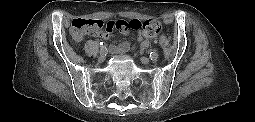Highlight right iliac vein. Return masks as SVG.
<instances>
[{
  "label": "right iliac vein",
  "instance_id": "right-iliac-vein-1",
  "mask_svg": "<svg viewBox=\"0 0 255 122\" xmlns=\"http://www.w3.org/2000/svg\"><path fill=\"white\" fill-rule=\"evenodd\" d=\"M106 59V51L100 50V55L98 57L99 62H103Z\"/></svg>",
  "mask_w": 255,
  "mask_h": 122
}]
</instances>
